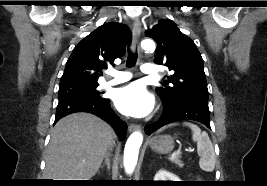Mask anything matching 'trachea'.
I'll list each match as a JSON object with an SVG mask.
<instances>
[{
	"mask_svg": "<svg viewBox=\"0 0 267 186\" xmlns=\"http://www.w3.org/2000/svg\"><path fill=\"white\" fill-rule=\"evenodd\" d=\"M137 53H133L129 48H128V56H127V66L128 67H133L136 64L137 61Z\"/></svg>",
	"mask_w": 267,
	"mask_h": 186,
	"instance_id": "1",
	"label": "trachea"
}]
</instances>
